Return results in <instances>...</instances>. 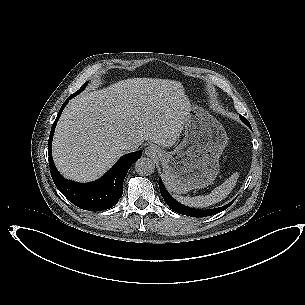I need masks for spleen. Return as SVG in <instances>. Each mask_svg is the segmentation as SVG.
I'll list each match as a JSON object with an SVG mask.
<instances>
[{"instance_id": "3e777b00", "label": "spleen", "mask_w": 305, "mask_h": 305, "mask_svg": "<svg viewBox=\"0 0 305 305\" xmlns=\"http://www.w3.org/2000/svg\"><path fill=\"white\" fill-rule=\"evenodd\" d=\"M235 174L231 175L220 186L216 187L208 195L195 197H183L173 194V197L180 203L192 208H204L216 204L227 197L235 183Z\"/></svg>"}]
</instances>
